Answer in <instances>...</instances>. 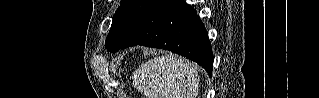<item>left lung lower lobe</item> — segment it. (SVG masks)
Here are the masks:
<instances>
[{
    "mask_svg": "<svg viewBox=\"0 0 319 98\" xmlns=\"http://www.w3.org/2000/svg\"><path fill=\"white\" fill-rule=\"evenodd\" d=\"M135 45L162 48L182 55L197 62L212 76L213 53L206 30L195 9L184 0H157L121 48Z\"/></svg>",
    "mask_w": 319,
    "mask_h": 98,
    "instance_id": "0a47b994",
    "label": "left lung lower lobe"
}]
</instances>
